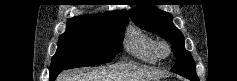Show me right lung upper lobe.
Wrapping results in <instances>:
<instances>
[{
  "mask_svg": "<svg viewBox=\"0 0 237 81\" xmlns=\"http://www.w3.org/2000/svg\"><path fill=\"white\" fill-rule=\"evenodd\" d=\"M69 22H86V23H116V22H128V14L125 10L116 12H107L105 14L77 16L70 18Z\"/></svg>",
  "mask_w": 237,
  "mask_h": 81,
  "instance_id": "1",
  "label": "right lung upper lobe"
}]
</instances>
